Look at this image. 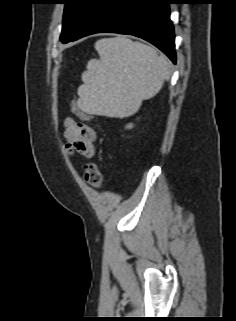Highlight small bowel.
<instances>
[{
    "label": "small bowel",
    "instance_id": "obj_1",
    "mask_svg": "<svg viewBox=\"0 0 236 321\" xmlns=\"http://www.w3.org/2000/svg\"><path fill=\"white\" fill-rule=\"evenodd\" d=\"M64 137L70 151L86 157H92L95 154L96 132L84 122H77L71 117L66 118L64 120Z\"/></svg>",
    "mask_w": 236,
    "mask_h": 321
}]
</instances>
